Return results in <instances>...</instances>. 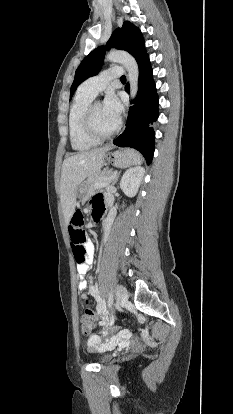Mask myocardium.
<instances>
[{
    "label": "myocardium",
    "instance_id": "1",
    "mask_svg": "<svg viewBox=\"0 0 233 414\" xmlns=\"http://www.w3.org/2000/svg\"><path fill=\"white\" fill-rule=\"evenodd\" d=\"M95 104L90 103L87 108L85 109L84 113H83V117H82V129L84 131V133L92 140L95 141H104L106 139H109L111 137H113L119 130L121 127V122L117 121L116 126L113 128V130H111L108 133L102 134L99 133L93 124V107Z\"/></svg>",
    "mask_w": 233,
    "mask_h": 414
}]
</instances>
